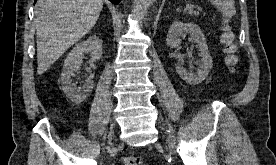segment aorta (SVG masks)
Wrapping results in <instances>:
<instances>
[{
    "instance_id": "762f6f07",
    "label": "aorta",
    "mask_w": 276,
    "mask_h": 165,
    "mask_svg": "<svg viewBox=\"0 0 276 165\" xmlns=\"http://www.w3.org/2000/svg\"><path fill=\"white\" fill-rule=\"evenodd\" d=\"M156 0H134V11L139 19H143L151 4Z\"/></svg>"
}]
</instances>
